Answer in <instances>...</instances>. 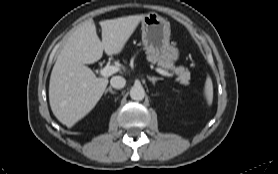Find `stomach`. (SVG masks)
<instances>
[{
    "label": "stomach",
    "mask_w": 278,
    "mask_h": 174,
    "mask_svg": "<svg viewBox=\"0 0 278 174\" xmlns=\"http://www.w3.org/2000/svg\"><path fill=\"white\" fill-rule=\"evenodd\" d=\"M142 43L148 54L162 59L176 62L179 50L170 42V23L157 13H149L142 19Z\"/></svg>",
    "instance_id": "obj_1"
}]
</instances>
